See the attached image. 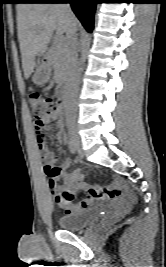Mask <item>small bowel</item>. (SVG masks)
Masks as SVG:
<instances>
[{
  "label": "small bowel",
  "instance_id": "1",
  "mask_svg": "<svg viewBox=\"0 0 166 267\" xmlns=\"http://www.w3.org/2000/svg\"><path fill=\"white\" fill-rule=\"evenodd\" d=\"M62 115H63V109L59 105L54 112L44 116L43 118L44 129L48 126V124H50L53 121H58L59 127L62 128L63 126ZM34 131L36 135L37 145L40 149H43L44 145L41 146L38 141L37 127L35 123H34ZM62 139H63V132L60 129L56 133V140L62 141ZM47 158L50 161L55 160V156L50 153L47 154ZM69 167H70V162L69 161L64 162L61 166L56 168L58 172L57 176L48 179L49 189L55 195L57 204L64 210L65 214H72L81 211L83 209H87L99 197L115 199L122 192L123 187L120 181H115L111 187L104 189L103 186H90V184L85 180V178L80 173L78 172L69 173L68 172ZM58 179H61L63 181L66 191L72 193L77 190H85L88 192L87 196L78 204H72L70 201L64 200L62 195L57 192Z\"/></svg>",
  "mask_w": 166,
  "mask_h": 267
}]
</instances>
